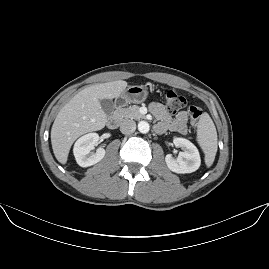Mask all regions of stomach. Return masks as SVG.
Returning a JSON list of instances; mask_svg holds the SVG:
<instances>
[{
  "label": "stomach",
  "mask_w": 269,
  "mask_h": 269,
  "mask_svg": "<svg viewBox=\"0 0 269 269\" xmlns=\"http://www.w3.org/2000/svg\"><path fill=\"white\" fill-rule=\"evenodd\" d=\"M148 95L147 88L143 85L140 86H129L127 89L123 90L116 101L121 100L118 104L119 107L127 106L128 104H139L146 100Z\"/></svg>",
  "instance_id": "1"
}]
</instances>
